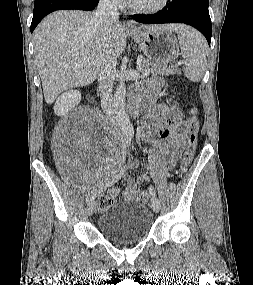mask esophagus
Segmentation results:
<instances>
[{
    "mask_svg": "<svg viewBox=\"0 0 253 285\" xmlns=\"http://www.w3.org/2000/svg\"><path fill=\"white\" fill-rule=\"evenodd\" d=\"M124 26L126 27V29H130V30L136 29V25L132 21H126L124 23Z\"/></svg>",
    "mask_w": 253,
    "mask_h": 285,
    "instance_id": "1",
    "label": "esophagus"
}]
</instances>
